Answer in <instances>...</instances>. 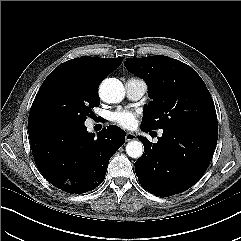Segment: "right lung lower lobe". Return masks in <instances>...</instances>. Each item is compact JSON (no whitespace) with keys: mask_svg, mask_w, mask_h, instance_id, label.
Segmentation results:
<instances>
[{"mask_svg":"<svg viewBox=\"0 0 241 241\" xmlns=\"http://www.w3.org/2000/svg\"><path fill=\"white\" fill-rule=\"evenodd\" d=\"M36 165L46 180L68 193L81 194L105 179L111 156L125 143L115 125L88 133L82 125L29 132Z\"/></svg>","mask_w":241,"mask_h":241,"instance_id":"98d812e1","label":"right lung lower lobe"}]
</instances>
